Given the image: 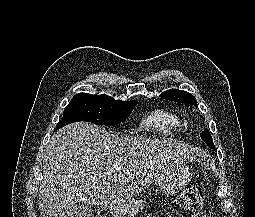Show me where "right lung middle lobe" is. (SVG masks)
Listing matches in <instances>:
<instances>
[{"label": "right lung middle lobe", "instance_id": "right-lung-middle-lobe-1", "mask_svg": "<svg viewBox=\"0 0 255 217\" xmlns=\"http://www.w3.org/2000/svg\"><path fill=\"white\" fill-rule=\"evenodd\" d=\"M138 101H120L107 95L76 94L65 107L56 130L73 122L86 121L98 125H117L133 111Z\"/></svg>", "mask_w": 255, "mask_h": 217}]
</instances>
